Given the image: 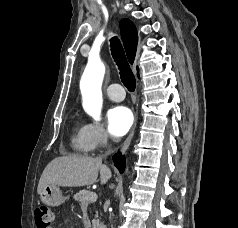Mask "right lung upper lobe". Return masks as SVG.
Segmentation results:
<instances>
[{"label": "right lung upper lobe", "mask_w": 238, "mask_h": 228, "mask_svg": "<svg viewBox=\"0 0 238 228\" xmlns=\"http://www.w3.org/2000/svg\"><path fill=\"white\" fill-rule=\"evenodd\" d=\"M120 30L128 60L132 64L136 55L138 41L136 27L130 20L122 19L120 21Z\"/></svg>", "instance_id": "cb5924a9"}]
</instances>
